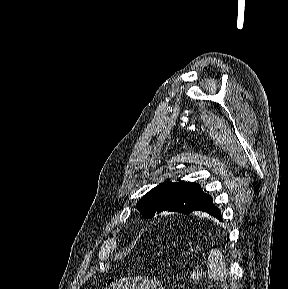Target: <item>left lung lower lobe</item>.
<instances>
[{"label":"left lung lower lobe","mask_w":288,"mask_h":289,"mask_svg":"<svg viewBox=\"0 0 288 289\" xmlns=\"http://www.w3.org/2000/svg\"><path fill=\"white\" fill-rule=\"evenodd\" d=\"M193 211L206 212L222 221L220 210L213 204L212 197L208 194L194 207Z\"/></svg>","instance_id":"obj_1"}]
</instances>
